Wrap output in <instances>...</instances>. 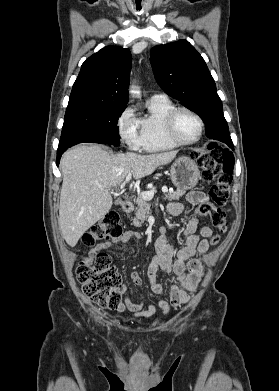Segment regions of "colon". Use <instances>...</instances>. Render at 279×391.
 Returning a JSON list of instances; mask_svg holds the SVG:
<instances>
[{
  "instance_id": "5ec220e1",
  "label": "colon",
  "mask_w": 279,
  "mask_h": 391,
  "mask_svg": "<svg viewBox=\"0 0 279 391\" xmlns=\"http://www.w3.org/2000/svg\"><path fill=\"white\" fill-rule=\"evenodd\" d=\"M192 156L202 170L203 179L214 182L209 191L214 205H200L198 213L209 215L213 226L225 232L227 219L224 206L229 199L234 157L216 143L208 144L205 150L193 152ZM121 235L120 215L117 211H110L83 235L82 241L86 246H93L98 241L115 242ZM219 241V235H214L210 242L215 246ZM76 277L83 294L94 304L102 308H119L121 277L111 264L109 255L99 253L92 261L84 258L76 270Z\"/></svg>"
}]
</instances>
